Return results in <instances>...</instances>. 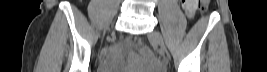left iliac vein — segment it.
Segmentation results:
<instances>
[{
	"label": "left iliac vein",
	"instance_id": "1",
	"mask_svg": "<svg viewBox=\"0 0 267 72\" xmlns=\"http://www.w3.org/2000/svg\"><path fill=\"white\" fill-rule=\"evenodd\" d=\"M148 37L152 41H155L156 43H158L160 48H161V50L164 51L166 49L165 43H164V39H163L162 35L158 31H154V32L150 33L148 35Z\"/></svg>",
	"mask_w": 267,
	"mask_h": 72
}]
</instances>
